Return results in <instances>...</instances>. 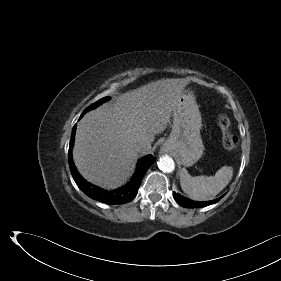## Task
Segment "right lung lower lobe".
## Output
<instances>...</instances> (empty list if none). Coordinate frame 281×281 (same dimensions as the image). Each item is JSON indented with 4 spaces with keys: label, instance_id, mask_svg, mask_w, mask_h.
<instances>
[{
    "label": "right lung lower lobe",
    "instance_id": "1",
    "mask_svg": "<svg viewBox=\"0 0 281 281\" xmlns=\"http://www.w3.org/2000/svg\"><path fill=\"white\" fill-rule=\"evenodd\" d=\"M83 115L84 114H81L80 118ZM75 130H76V125L73 127L72 134H71V140H70L69 151H68V160H69L70 171L78 187L90 198L103 203L125 204L127 202H130L137 195L143 176L148 170V168L154 163L155 158L152 155L143 157L139 161L136 172L132 177L131 181L128 184H126L124 187L114 191L101 189L87 182L78 173V171L75 168L72 159V146L74 143Z\"/></svg>",
    "mask_w": 281,
    "mask_h": 281
}]
</instances>
